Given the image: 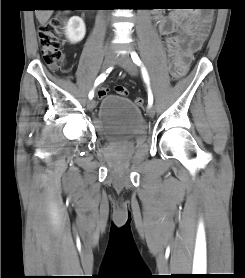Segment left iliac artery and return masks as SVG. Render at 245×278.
<instances>
[{"mask_svg":"<svg viewBox=\"0 0 245 278\" xmlns=\"http://www.w3.org/2000/svg\"><path fill=\"white\" fill-rule=\"evenodd\" d=\"M131 57H132L133 62L141 67L143 78H144V81L146 82L147 88H148V104H149V106H151L153 104V94H152V91L149 86V77H148L147 71H146L145 67L142 65V62H141L140 58L138 57V55L136 54V52H132Z\"/></svg>","mask_w":245,"mask_h":278,"instance_id":"1","label":"left iliac artery"}]
</instances>
